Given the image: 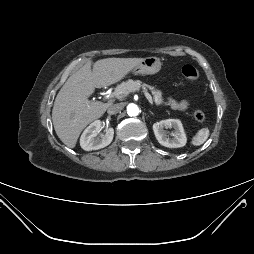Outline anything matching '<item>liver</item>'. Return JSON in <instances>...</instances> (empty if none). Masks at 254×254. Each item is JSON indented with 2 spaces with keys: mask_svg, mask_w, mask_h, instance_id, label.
Here are the masks:
<instances>
[{
  "mask_svg": "<svg viewBox=\"0 0 254 254\" xmlns=\"http://www.w3.org/2000/svg\"><path fill=\"white\" fill-rule=\"evenodd\" d=\"M143 58H106L86 62L72 74L57 94L52 110L55 132L69 148H74L82 130L100 118L108 103L90 101L95 88L110 86L123 79Z\"/></svg>",
  "mask_w": 254,
  "mask_h": 254,
  "instance_id": "1",
  "label": "liver"
}]
</instances>
